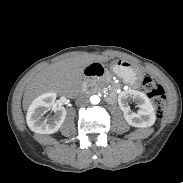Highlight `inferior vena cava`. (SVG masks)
Segmentation results:
<instances>
[{
	"instance_id": "1",
	"label": "inferior vena cava",
	"mask_w": 183,
	"mask_h": 183,
	"mask_svg": "<svg viewBox=\"0 0 183 183\" xmlns=\"http://www.w3.org/2000/svg\"><path fill=\"white\" fill-rule=\"evenodd\" d=\"M77 106H87L89 103V99L85 96H79L75 101Z\"/></svg>"
}]
</instances>
